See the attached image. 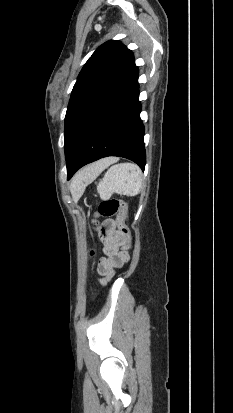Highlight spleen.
<instances>
[{"instance_id": "obj_1", "label": "spleen", "mask_w": 233, "mask_h": 413, "mask_svg": "<svg viewBox=\"0 0 233 413\" xmlns=\"http://www.w3.org/2000/svg\"><path fill=\"white\" fill-rule=\"evenodd\" d=\"M142 181V172L136 164L119 163L108 169L97 185V192L103 200H108L114 192L132 197L140 193Z\"/></svg>"}]
</instances>
